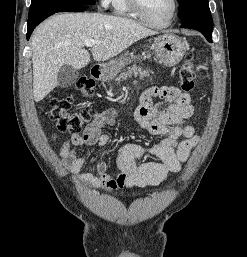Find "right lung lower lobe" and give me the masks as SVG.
I'll return each instance as SVG.
<instances>
[{
    "instance_id": "1",
    "label": "right lung lower lobe",
    "mask_w": 247,
    "mask_h": 257,
    "mask_svg": "<svg viewBox=\"0 0 247 257\" xmlns=\"http://www.w3.org/2000/svg\"><path fill=\"white\" fill-rule=\"evenodd\" d=\"M86 9V5H52L30 13L27 26V39L30 38V35L33 32L34 28L50 15L57 12H81Z\"/></svg>"
}]
</instances>
